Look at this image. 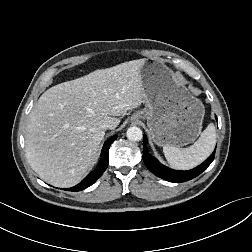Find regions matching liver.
I'll return each mask as SVG.
<instances>
[{"instance_id": "6515ba94", "label": "liver", "mask_w": 252, "mask_h": 252, "mask_svg": "<svg viewBox=\"0 0 252 252\" xmlns=\"http://www.w3.org/2000/svg\"><path fill=\"white\" fill-rule=\"evenodd\" d=\"M144 59L95 70L46 90L30 112L25 135L28 163L45 182L72 187L92 166L105 136L127 111L144 102Z\"/></svg>"}]
</instances>
